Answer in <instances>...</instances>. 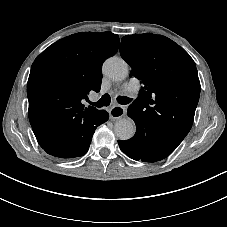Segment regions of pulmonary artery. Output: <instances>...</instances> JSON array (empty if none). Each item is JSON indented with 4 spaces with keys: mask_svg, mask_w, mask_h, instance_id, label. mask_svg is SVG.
Segmentation results:
<instances>
[{
    "mask_svg": "<svg viewBox=\"0 0 227 227\" xmlns=\"http://www.w3.org/2000/svg\"><path fill=\"white\" fill-rule=\"evenodd\" d=\"M128 90L132 89L133 85L131 83L126 84L125 86Z\"/></svg>",
    "mask_w": 227,
    "mask_h": 227,
    "instance_id": "pulmonary-artery-1",
    "label": "pulmonary artery"
}]
</instances>
